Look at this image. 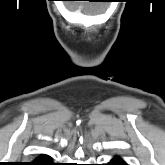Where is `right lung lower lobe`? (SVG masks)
I'll return each mask as SVG.
<instances>
[{"label": "right lung lower lobe", "instance_id": "1", "mask_svg": "<svg viewBox=\"0 0 165 165\" xmlns=\"http://www.w3.org/2000/svg\"><path fill=\"white\" fill-rule=\"evenodd\" d=\"M29 165H55V163H52L49 156L41 155L34 162H30Z\"/></svg>", "mask_w": 165, "mask_h": 165}]
</instances>
